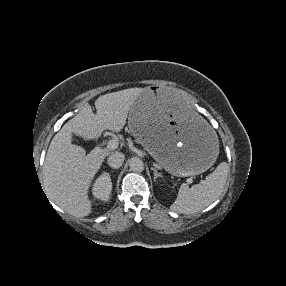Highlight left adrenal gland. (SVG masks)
I'll return each mask as SVG.
<instances>
[{"mask_svg":"<svg viewBox=\"0 0 286 286\" xmlns=\"http://www.w3.org/2000/svg\"><path fill=\"white\" fill-rule=\"evenodd\" d=\"M154 171V181H156V179L158 177L162 178V175L155 169V168H151Z\"/></svg>","mask_w":286,"mask_h":286,"instance_id":"a2214340","label":"left adrenal gland"}]
</instances>
